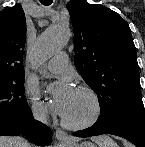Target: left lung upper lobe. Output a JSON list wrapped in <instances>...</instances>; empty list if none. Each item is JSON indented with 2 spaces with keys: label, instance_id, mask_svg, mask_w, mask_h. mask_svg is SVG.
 Returning <instances> with one entry per match:
<instances>
[{
  "label": "left lung upper lobe",
  "instance_id": "1",
  "mask_svg": "<svg viewBox=\"0 0 145 147\" xmlns=\"http://www.w3.org/2000/svg\"><path fill=\"white\" fill-rule=\"evenodd\" d=\"M74 29V64L97 94L96 126L144 110L136 48L128 23L116 12L85 0L67 3Z\"/></svg>",
  "mask_w": 145,
  "mask_h": 147
}]
</instances>
